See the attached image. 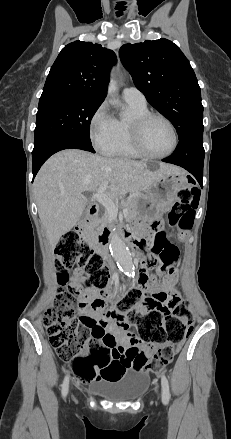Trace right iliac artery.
Here are the masks:
<instances>
[{"label": "right iliac artery", "mask_w": 231, "mask_h": 439, "mask_svg": "<svg viewBox=\"0 0 231 439\" xmlns=\"http://www.w3.org/2000/svg\"><path fill=\"white\" fill-rule=\"evenodd\" d=\"M68 385H69V375H67L63 381L62 384V395L66 396L67 392H68Z\"/></svg>", "instance_id": "obj_1"}]
</instances>
